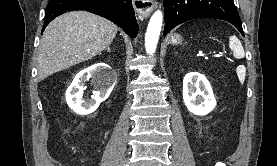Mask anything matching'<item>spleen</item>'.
Masks as SVG:
<instances>
[{
  "mask_svg": "<svg viewBox=\"0 0 277 166\" xmlns=\"http://www.w3.org/2000/svg\"><path fill=\"white\" fill-rule=\"evenodd\" d=\"M229 47L233 51V55L237 59H241L245 57V52L240 40L232 35L229 37Z\"/></svg>",
  "mask_w": 277,
  "mask_h": 166,
  "instance_id": "3e777b00",
  "label": "spleen"
}]
</instances>
